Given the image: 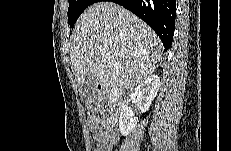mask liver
I'll return each mask as SVG.
<instances>
[{
  "instance_id": "liver-1",
  "label": "liver",
  "mask_w": 231,
  "mask_h": 151,
  "mask_svg": "<svg viewBox=\"0 0 231 151\" xmlns=\"http://www.w3.org/2000/svg\"><path fill=\"white\" fill-rule=\"evenodd\" d=\"M71 41V65L80 89L86 76L92 75L118 94L152 75L163 53L161 40L146 23L108 1L96 2L83 12Z\"/></svg>"
}]
</instances>
